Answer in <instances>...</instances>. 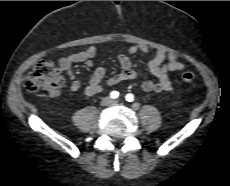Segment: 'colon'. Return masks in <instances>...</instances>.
<instances>
[{
    "mask_svg": "<svg viewBox=\"0 0 230 186\" xmlns=\"http://www.w3.org/2000/svg\"><path fill=\"white\" fill-rule=\"evenodd\" d=\"M180 79L183 82H192L196 74L191 71L181 73ZM64 78L53 61L42 59L36 62L32 70L25 77V88L30 92L45 91L51 95L59 93L64 85Z\"/></svg>",
    "mask_w": 230,
    "mask_h": 186,
    "instance_id": "obj_1",
    "label": "colon"
}]
</instances>
